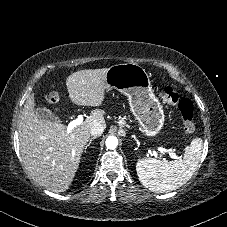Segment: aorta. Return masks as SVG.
<instances>
[{"label": "aorta", "instance_id": "aorta-1", "mask_svg": "<svg viewBox=\"0 0 227 227\" xmlns=\"http://www.w3.org/2000/svg\"><path fill=\"white\" fill-rule=\"evenodd\" d=\"M118 146V139L115 136H109L106 139V147L108 149H115Z\"/></svg>", "mask_w": 227, "mask_h": 227}]
</instances>
